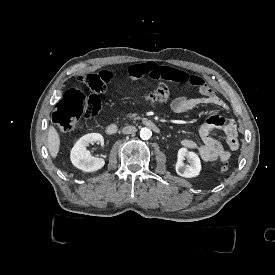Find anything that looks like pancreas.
<instances>
[{"mask_svg": "<svg viewBox=\"0 0 275 275\" xmlns=\"http://www.w3.org/2000/svg\"><path fill=\"white\" fill-rule=\"evenodd\" d=\"M126 118H127V119H132V118H134L135 120H140V119H141V117H140L139 114H137V113L127 114V115H126Z\"/></svg>", "mask_w": 275, "mask_h": 275, "instance_id": "cf45deb5", "label": "pancreas"}]
</instances>
